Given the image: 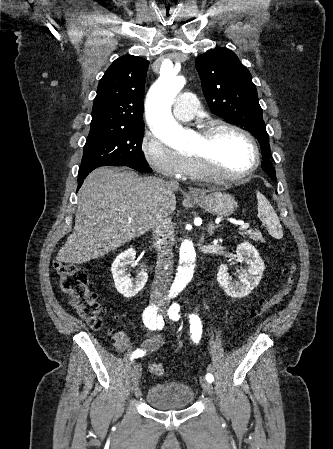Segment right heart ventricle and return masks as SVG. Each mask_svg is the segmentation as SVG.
<instances>
[{
    "label": "right heart ventricle",
    "mask_w": 333,
    "mask_h": 449,
    "mask_svg": "<svg viewBox=\"0 0 333 449\" xmlns=\"http://www.w3.org/2000/svg\"><path fill=\"white\" fill-rule=\"evenodd\" d=\"M184 177H192V178H199L200 174L192 161L190 157L187 158V166L184 173Z\"/></svg>",
    "instance_id": "1"
}]
</instances>
